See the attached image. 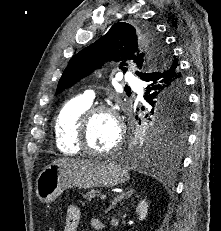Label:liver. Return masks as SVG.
<instances>
[{
	"instance_id": "1",
	"label": "liver",
	"mask_w": 221,
	"mask_h": 231,
	"mask_svg": "<svg viewBox=\"0 0 221 231\" xmlns=\"http://www.w3.org/2000/svg\"><path fill=\"white\" fill-rule=\"evenodd\" d=\"M72 161H76V160H72L68 158H61V159L54 160L52 164L67 163V162H72Z\"/></svg>"
}]
</instances>
